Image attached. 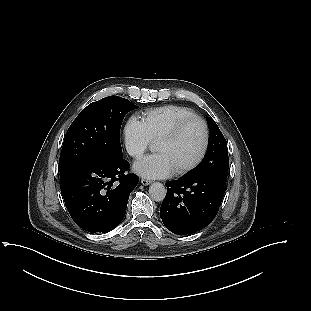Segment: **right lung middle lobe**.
Returning a JSON list of instances; mask_svg holds the SVG:
<instances>
[{
  "label": "right lung middle lobe",
  "instance_id": "1",
  "mask_svg": "<svg viewBox=\"0 0 311 311\" xmlns=\"http://www.w3.org/2000/svg\"><path fill=\"white\" fill-rule=\"evenodd\" d=\"M138 106L109 96L84 108L69 127L60 155V173L86 160L122 158L120 127L127 112Z\"/></svg>",
  "mask_w": 311,
  "mask_h": 311
}]
</instances>
